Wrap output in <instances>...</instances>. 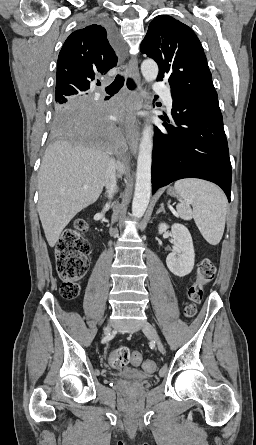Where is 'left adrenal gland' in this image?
Wrapping results in <instances>:
<instances>
[{"label": "left adrenal gland", "instance_id": "a2214340", "mask_svg": "<svg viewBox=\"0 0 256 445\" xmlns=\"http://www.w3.org/2000/svg\"><path fill=\"white\" fill-rule=\"evenodd\" d=\"M160 212H165L163 203L161 204L160 208L157 210L156 214H159Z\"/></svg>", "mask_w": 256, "mask_h": 445}]
</instances>
